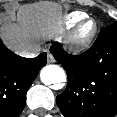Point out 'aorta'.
Segmentation results:
<instances>
[{
	"mask_svg": "<svg viewBox=\"0 0 117 117\" xmlns=\"http://www.w3.org/2000/svg\"><path fill=\"white\" fill-rule=\"evenodd\" d=\"M40 79L45 85H55L64 82L66 74L58 65H47L41 70Z\"/></svg>",
	"mask_w": 117,
	"mask_h": 117,
	"instance_id": "aorta-1",
	"label": "aorta"
}]
</instances>
